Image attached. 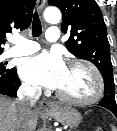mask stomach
<instances>
[{
  "label": "stomach",
  "instance_id": "obj_1",
  "mask_svg": "<svg viewBox=\"0 0 117 131\" xmlns=\"http://www.w3.org/2000/svg\"><path fill=\"white\" fill-rule=\"evenodd\" d=\"M46 114L71 129L78 127L81 122L80 113L70 106L58 105Z\"/></svg>",
  "mask_w": 117,
  "mask_h": 131
}]
</instances>
